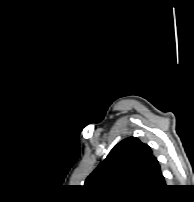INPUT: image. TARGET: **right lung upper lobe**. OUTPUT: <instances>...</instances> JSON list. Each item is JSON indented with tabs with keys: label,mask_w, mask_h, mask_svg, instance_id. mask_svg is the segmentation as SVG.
Instances as JSON below:
<instances>
[{
	"label": "right lung upper lobe",
	"mask_w": 194,
	"mask_h": 202,
	"mask_svg": "<svg viewBox=\"0 0 194 202\" xmlns=\"http://www.w3.org/2000/svg\"><path fill=\"white\" fill-rule=\"evenodd\" d=\"M85 186L106 196H145L165 187V179L151 148L129 137L111 150Z\"/></svg>",
	"instance_id": "right-lung-upper-lobe-1"
}]
</instances>
